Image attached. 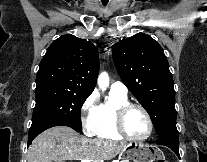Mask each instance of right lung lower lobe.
<instances>
[{"label":"right lung lower lobe","instance_id":"right-lung-lower-lobe-1","mask_svg":"<svg viewBox=\"0 0 207 162\" xmlns=\"http://www.w3.org/2000/svg\"><path fill=\"white\" fill-rule=\"evenodd\" d=\"M54 126H65L59 122H53V121H43L36 123L34 125H31L29 130V137H28V145L32 142V140L41 132L44 130L54 127Z\"/></svg>","mask_w":207,"mask_h":162}]
</instances>
